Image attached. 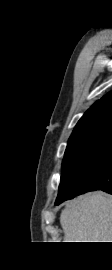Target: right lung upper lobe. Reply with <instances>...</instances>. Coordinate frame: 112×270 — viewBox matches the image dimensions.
Instances as JSON below:
<instances>
[{
  "label": "right lung upper lobe",
  "mask_w": 112,
  "mask_h": 270,
  "mask_svg": "<svg viewBox=\"0 0 112 270\" xmlns=\"http://www.w3.org/2000/svg\"><path fill=\"white\" fill-rule=\"evenodd\" d=\"M112 124V92L97 101L78 121L70 139L92 128Z\"/></svg>",
  "instance_id": "cb5924a9"
}]
</instances>
